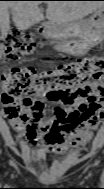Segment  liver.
<instances>
[{
	"label": "liver",
	"instance_id": "obj_1",
	"mask_svg": "<svg viewBox=\"0 0 104 189\" xmlns=\"http://www.w3.org/2000/svg\"><path fill=\"white\" fill-rule=\"evenodd\" d=\"M37 1H3L0 3L1 32L5 36L8 31V9H11L13 21L18 30H27L44 19ZM103 8L99 1H48L46 18L52 25L72 27L87 15Z\"/></svg>",
	"mask_w": 104,
	"mask_h": 189
}]
</instances>
